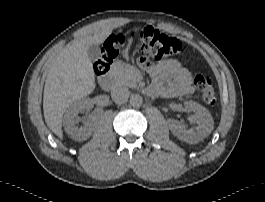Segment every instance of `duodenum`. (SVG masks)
Wrapping results in <instances>:
<instances>
[{"mask_svg": "<svg viewBox=\"0 0 265 202\" xmlns=\"http://www.w3.org/2000/svg\"><path fill=\"white\" fill-rule=\"evenodd\" d=\"M99 85L103 90H111L115 86V76L112 73H109L103 76L99 80ZM144 92L148 93L150 91L149 88L143 89Z\"/></svg>", "mask_w": 265, "mask_h": 202, "instance_id": "410a0bca", "label": "duodenum"}]
</instances>
